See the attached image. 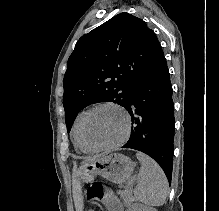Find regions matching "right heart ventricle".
Returning a JSON list of instances; mask_svg holds the SVG:
<instances>
[{
	"instance_id": "e07e8e85",
	"label": "right heart ventricle",
	"mask_w": 219,
	"mask_h": 211,
	"mask_svg": "<svg viewBox=\"0 0 219 211\" xmlns=\"http://www.w3.org/2000/svg\"><path fill=\"white\" fill-rule=\"evenodd\" d=\"M82 115H83V112L78 114L77 117L74 120V123H73V126H72V138H73V142H74L75 147H77L81 151L86 152V153H92L94 150H92L89 147H87L81 141V138H80V135H79V124H80V120H81Z\"/></svg>"
}]
</instances>
